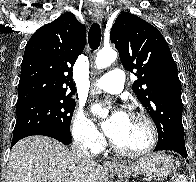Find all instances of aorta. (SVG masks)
Here are the masks:
<instances>
[{
  "label": "aorta",
  "instance_id": "1",
  "mask_svg": "<svg viewBox=\"0 0 196 182\" xmlns=\"http://www.w3.org/2000/svg\"><path fill=\"white\" fill-rule=\"evenodd\" d=\"M117 58V52L112 48H103L97 53L95 64L97 69H104L110 66ZM108 116V110L105 109L102 112V117L106 118Z\"/></svg>",
  "mask_w": 196,
  "mask_h": 182
}]
</instances>
